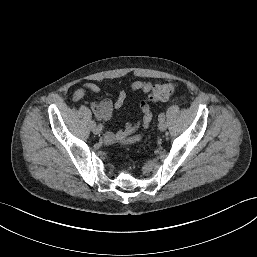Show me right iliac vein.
<instances>
[{
    "label": "right iliac vein",
    "instance_id": "63e3f726",
    "mask_svg": "<svg viewBox=\"0 0 257 257\" xmlns=\"http://www.w3.org/2000/svg\"><path fill=\"white\" fill-rule=\"evenodd\" d=\"M101 131H102V128L98 125V126H95V127H93V133L94 134H100L101 133Z\"/></svg>",
    "mask_w": 257,
    "mask_h": 257
}]
</instances>
